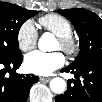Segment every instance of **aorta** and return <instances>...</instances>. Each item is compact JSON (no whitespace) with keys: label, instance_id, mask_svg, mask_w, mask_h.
Segmentation results:
<instances>
[{"label":"aorta","instance_id":"aorta-1","mask_svg":"<svg viewBox=\"0 0 102 102\" xmlns=\"http://www.w3.org/2000/svg\"><path fill=\"white\" fill-rule=\"evenodd\" d=\"M55 43V37L51 33H44L38 42V47L41 51H52ZM66 82L60 77L53 78L50 81V89L56 94H62L65 91Z\"/></svg>","mask_w":102,"mask_h":102}]
</instances>
